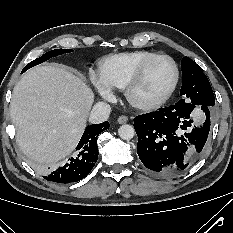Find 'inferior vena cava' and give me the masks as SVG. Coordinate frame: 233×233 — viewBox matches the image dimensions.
Listing matches in <instances>:
<instances>
[{
  "mask_svg": "<svg viewBox=\"0 0 233 233\" xmlns=\"http://www.w3.org/2000/svg\"><path fill=\"white\" fill-rule=\"evenodd\" d=\"M110 112L111 106L109 104L98 102L93 106L89 114V121L94 124L102 123L108 119Z\"/></svg>",
  "mask_w": 233,
  "mask_h": 233,
  "instance_id": "inferior-vena-cava-1",
  "label": "inferior vena cava"
}]
</instances>
